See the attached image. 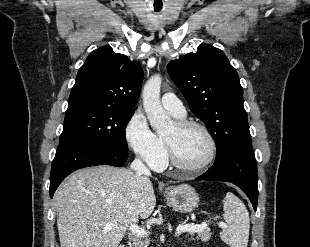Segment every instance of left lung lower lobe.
<instances>
[{
  "label": "left lung lower lobe",
  "mask_w": 310,
  "mask_h": 247,
  "mask_svg": "<svg viewBox=\"0 0 310 247\" xmlns=\"http://www.w3.org/2000/svg\"><path fill=\"white\" fill-rule=\"evenodd\" d=\"M196 180L231 182L240 187L257 209L258 177L252 145H246L222 160L215 161L207 172Z\"/></svg>",
  "instance_id": "left-lung-lower-lobe-1"
}]
</instances>
